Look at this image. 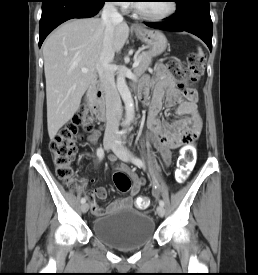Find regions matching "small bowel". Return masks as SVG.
Wrapping results in <instances>:
<instances>
[{
	"label": "small bowel",
	"instance_id": "c3829d8e",
	"mask_svg": "<svg viewBox=\"0 0 258 275\" xmlns=\"http://www.w3.org/2000/svg\"><path fill=\"white\" fill-rule=\"evenodd\" d=\"M154 74V78L144 79L139 86L140 96L149 109L147 139L160 153L164 163L170 165L173 159V149L183 145L192 146L202 131L203 122L197 110V95L194 91L179 92L175 79L163 65H157ZM150 87L153 89L151 99L148 98ZM163 107H175L176 119L170 122L161 121L158 114ZM99 135V130H92L88 135V140L95 143ZM110 160L115 162L116 157L111 156ZM117 169L126 172L132 181L130 196L111 202L104 210L99 207L97 200L106 199L107 191L104 187L96 188L88 194L91 211L96 217L112 213L120 208H130L135 196L146 182L144 178L139 177L125 166L119 165Z\"/></svg>",
	"mask_w": 258,
	"mask_h": 275
}]
</instances>
